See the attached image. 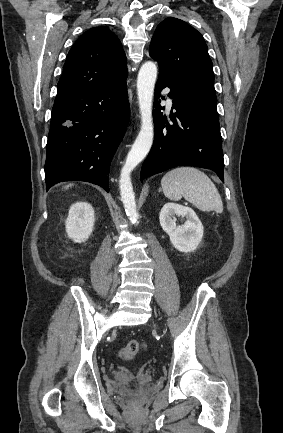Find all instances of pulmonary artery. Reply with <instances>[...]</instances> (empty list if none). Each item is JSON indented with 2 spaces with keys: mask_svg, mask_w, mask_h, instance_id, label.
<instances>
[{
  "mask_svg": "<svg viewBox=\"0 0 283 433\" xmlns=\"http://www.w3.org/2000/svg\"><path fill=\"white\" fill-rule=\"evenodd\" d=\"M166 105H167L168 108H172L173 107V100H172V98L169 95L167 96Z\"/></svg>",
  "mask_w": 283,
  "mask_h": 433,
  "instance_id": "pulmonary-artery-1",
  "label": "pulmonary artery"
}]
</instances>
